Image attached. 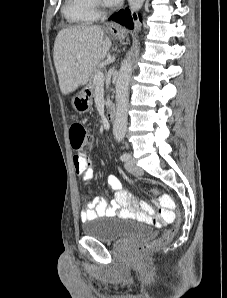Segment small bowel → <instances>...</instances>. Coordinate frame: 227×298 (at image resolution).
<instances>
[{
  "instance_id": "c3829d8e",
  "label": "small bowel",
  "mask_w": 227,
  "mask_h": 298,
  "mask_svg": "<svg viewBox=\"0 0 227 298\" xmlns=\"http://www.w3.org/2000/svg\"><path fill=\"white\" fill-rule=\"evenodd\" d=\"M76 175L81 178L85 185H88L94 176V169L87 150H76L73 158ZM107 185L113 191L114 197L107 201L100 196L84 195V204L80 211L83 222L94 220L100 217L140 218L147 219L151 208L148 204L142 203L138 209L135 199L125 191L119 179L115 175L107 176ZM169 222L165 218V210L162 211L161 223Z\"/></svg>"
}]
</instances>
